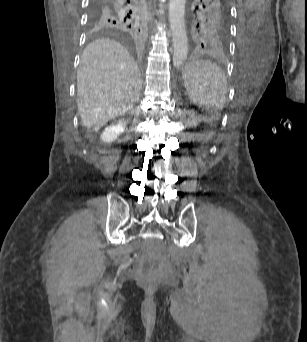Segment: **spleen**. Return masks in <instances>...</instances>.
Here are the masks:
<instances>
[{
    "label": "spleen",
    "instance_id": "3e777b00",
    "mask_svg": "<svg viewBox=\"0 0 307 342\" xmlns=\"http://www.w3.org/2000/svg\"><path fill=\"white\" fill-rule=\"evenodd\" d=\"M190 58L183 70L185 90H189V100L201 106L207 114H220L226 100V76L211 58H201L204 64H197Z\"/></svg>",
    "mask_w": 307,
    "mask_h": 342
}]
</instances>
